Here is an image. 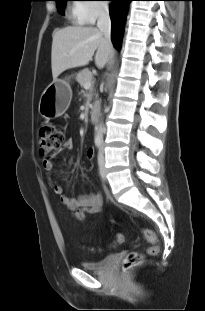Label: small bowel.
<instances>
[{
	"label": "small bowel",
	"instance_id": "c3829d8e",
	"mask_svg": "<svg viewBox=\"0 0 205 311\" xmlns=\"http://www.w3.org/2000/svg\"><path fill=\"white\" fill-rule=\"evenodd\" d=\"M62 148L65 150L72 149L73 140L67 139ZM95 156L96 152L92 148L86 152V157L89 160H93ZM43 168L48 174H51L54 170L53 161L50 158L44 159ZM51 187L53 192L59 196L62 204L72 211L73 217L76 220H84L86 215H95L101 210L102 199L99 194L92 193L78 198H72L65 193L64 188L58 182H51Z\"/></svg>",
	"mask_w": 205,
	"mask_h": 311
}]
</instances>
